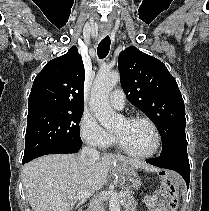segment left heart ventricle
Masks as SVG:
<instances>
[{"label": "left heart ventricle", "instance_id": "obj_1", "mask_svg": "<svg viewBox=\"0 0 209 211\" xmlns=\"http://www.w3.org/2000/svg\"><path fill=\"white\" fill-rule=\"evenodd\" d=\"M113 132L118 136L123 146L133 153H146L154 146V133L145 122L122 120Z\"/></svg>", "mask_w": 209, "mask_h": 211}]
</instances>
